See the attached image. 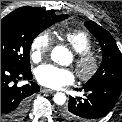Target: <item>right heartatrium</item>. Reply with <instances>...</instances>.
Here are the masks:
<instances>
[{
  "instance_id": "right-heart-atrium-1",
  "label": "right heart atrium",
  "mask_w": 122,
  "mask_h": 122,
  "mask_svg": "<svg viewBox=\"0 0 122 122\" xmlns=\"http://www.w3.org/2000/svg\"><path fill=\"white\" fill-rule=\"evenodd\" d=\"M52 47V36L48 31L39 33L32 41L30 46L31 59L34 62L41 61Z\"/></svg>"
}]
</instances>
